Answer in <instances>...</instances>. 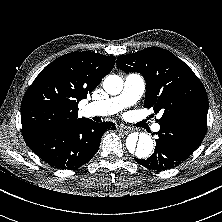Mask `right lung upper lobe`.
<instances>
[{
	"mask_svg": "<svg viewBox=\"0 0 222 222\" xmlns=\"http://www.w3.org/2000/svg\"><path fill=\"white\" fill-rule=\"evenodd\" d=\"M114 64V56L83 51L65 54L46 66L23 97L22 134L84 121L77 115L79 101L87 98Z\"/></svg>",
	"mask_w": 222,
	"mask_h": 222,
	"instance_id": "cb5924a9",
	"label": "right lung upper lobe"
}]
</instances>
